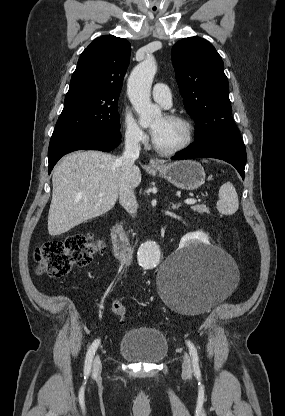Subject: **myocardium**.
<instances>
[{"mask_svg": "<svg viewBox=\"0 0 285 416\" xmlns=\"http://www.w3.org/2000/svg\"><path fill=\"white\" fill-rule=\"evenodd\" d=\"M164 117L183 127L184 134H185L184 140L178 146L174 148H170V149H163L155 143L154 144L155 150L159 154L164 155V156H174V155L180 154L186 149H188L193 141V127L191 123L185 117L181 115L170 113V114L164 115Z\"/></svg>", "mask_w": 285, "mask_h": 416, "instance_id": "myocardium-1", "label": "myocardium"}]
</instances>
